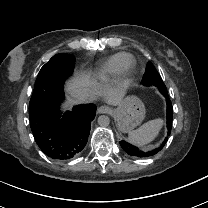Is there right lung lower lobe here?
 <instances>
[{"label":"right lung lower lobe","instance_id":"98d812e1","mask_svg":"<svg viewBox=\"0 0 208 208\" xmlns=\"http://www.w3.org/2000/svg\"><path fill=\"white\" fill-rule=\"evenodd\" d=\"M63 62L52 60L43 68L35 84L29 110L31 130L39 148L54 160H69L85 147L95 118L96 105H78L62 117L59 104L64 97Z\"/></svg>","mask_w":208,"mask_h":208}]
</instances>
